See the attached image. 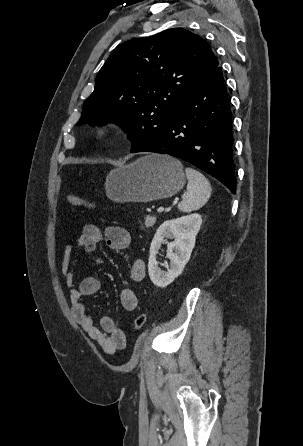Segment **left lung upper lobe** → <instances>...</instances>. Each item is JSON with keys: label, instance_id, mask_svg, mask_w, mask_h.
Returning a JSON list of instances; mask_svg holds the SVG:
<instances>
[{"label": "left lung upper lobe", "instance_id": "5c2ea615", "mask_svg": "<svg viewBox=\"0 0 303 446\" xmlns=\"http://www.w3.org/2000/svg\"><path fill=\"white\" fill-rule=\"evenodd\" d=\"M218 65L210 45L183 28L123 44L100 69L77 125L117 123L135 152L169 125L180 103Z\"/></svg>", "mask_w": 303, "mask_h": 446}]
</instances>
